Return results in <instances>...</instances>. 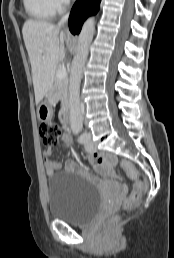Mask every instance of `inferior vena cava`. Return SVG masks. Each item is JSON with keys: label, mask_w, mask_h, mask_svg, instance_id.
<instances>
[{"label": "inferior vena cava", "mask_w": 174, "mask_h": 258, "mask_svg": "<svg viewBox=\"0 0 174 258\" xmlns=\"http://www.w3.org/2000/svg\"><path fill=\"white\" fill-rule=\"evenodd\" d=\"M68 19V14H66L65 16L62 17V19L60 20V22L58 23L59 26H61L62 24H64Z\"/></svg>", "instance_id": "inferior-vena-cava-1"}]
</instances>
